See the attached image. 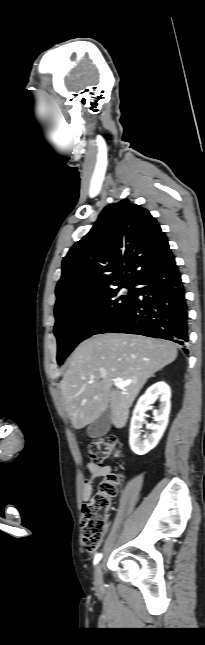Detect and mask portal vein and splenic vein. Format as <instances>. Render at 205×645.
Here are the masks:
<instances>
[{
	"label": "portal vein and splenic vein",
	"instance_id": "portal-vein-and-splenic-vein-1",
	"mask_svg": "<svg viewBox=\"0 0 205 645\" xmlns=\"http://www.w3.org/2000/svg\"><path fill=\"white\" fill-rule=\"evenodd\" d=\"M131 383H132V381H131V380L124 381V380H123V379H121V378H116V379H114V385H115L117 388H119V389H123V388H125L126 386L130 385Z\"/></svg>",
	"mask_w": 205,
	"mask_h": 645
}]
</instances>
